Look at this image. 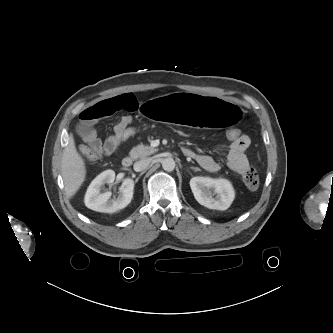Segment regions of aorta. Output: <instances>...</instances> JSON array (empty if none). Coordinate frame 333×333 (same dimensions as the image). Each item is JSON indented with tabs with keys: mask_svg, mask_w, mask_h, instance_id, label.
I'll use <instances>...</instances> for the list:
<instances>
[{
	"mask_svg": "<svg viewBox=\"0 0 333 333\" xmlns=\"http://www.w3.org/2000/svg\"><path fill=\"white\" fill-rule=\"evenodd\" d=\"M162 167L165 171L170 172L175 168V161L173 158H165L162 161Z\"/></svg>",
	"mask_w": 333,
	"mask_h": 333,
	"instance_id": "762f6f07",
	"label": "aorta"
}]
</instances>
